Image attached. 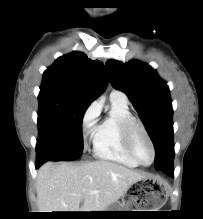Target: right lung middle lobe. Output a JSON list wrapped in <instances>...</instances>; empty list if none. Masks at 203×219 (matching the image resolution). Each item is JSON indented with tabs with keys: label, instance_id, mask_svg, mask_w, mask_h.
<instances>
[{
	"label": "right lung middle lobe",
	"instance_id": "right-lung-middle-lobe-1",
	"mask_svg": "<svg viewBox=\"0 0 203 219\" xmlns=\"http://www.w3.org/2000/svg\"><path fill=\"white\" fill-rule=\"evenodd\" d=\"M37 161L75 160L83 150L82 118L89 102L55 91L38 96Z\"/></svg>",
	"mask_w": 203,
	"mask_h": 219
}]
</instances>
